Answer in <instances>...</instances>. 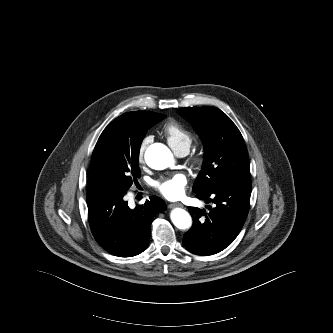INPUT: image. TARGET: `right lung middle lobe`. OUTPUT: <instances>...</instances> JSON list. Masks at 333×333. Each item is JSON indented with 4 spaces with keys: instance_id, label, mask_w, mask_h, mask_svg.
Wrapping results in <instances>:
<instances>
[{
    "instance_id": "dd1d6c3e",
    "label": "right lung middle lobe",
    "mask_w": 333,
    "mask_h": 333,
    "mask_svg": "<svg viewBox=\"0 0 333 333\" xmlns=\"http://www.w3.org/2000/svg\"><path fill=\"white\" fill-rule=\"evenodd\" d=\"M165 117L155 114L128 134L104 130L92 154L89 186L98 191L126 192L140 177L139 151L147 130Z\"/></svg>"
}]
</instances>
